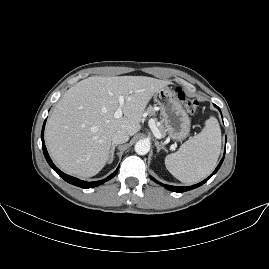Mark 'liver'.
Segmentation results:
<instances>
[{
  "instance_id": "liver-1",
  "label": "liver",
  "mask_w": 269,
  "mask_h": 269,
  "mask_svg": "<svg viewBox=\"0 0 269 269\" xmlns=\"http://www.w3.org/2000/svg\"><path fill=\"white\" fill-rule=\"evenodd\" d=\"M170 81L145 76H92L69 88L45 128L47 148L67 174L88 178L109 159L111 137L118 130L133 136L152 96ZM123 116L115 118L119 97Z\"/></svg>"
}]
</instances>
